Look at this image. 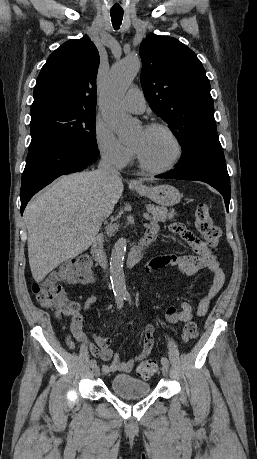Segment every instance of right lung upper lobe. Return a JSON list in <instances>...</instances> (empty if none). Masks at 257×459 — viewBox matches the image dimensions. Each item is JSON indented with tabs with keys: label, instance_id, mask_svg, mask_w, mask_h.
Instances as JSON below:
<instances>
[{
	"label": "right lung upper lobe",
	"instance_id": "right-lung-upper-lobe-1",
	"mask_svg": "<svg viewBox=\"0 0 257 459\" xmlns=\"http://www.w3.org/2000/svg\"><path fill=\"white\" fill-rule=\"evenodd\" d=\"M98 50L88 37L61 45L42 67L31 112L48 107L96 109Z\"/></svg>",
	"mask_w": 257,
	"mask_h": 459
}]
</instances>
